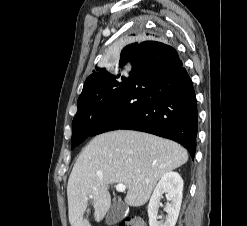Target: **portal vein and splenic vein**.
<instances>
[{"mask_svg": "<svg viewBox=\"0 0 247 226\" xmlns=\"http://www.w3.org/2000/svg\"><path fill=\"white\" fill-rule=\"evenodd\" d=\"M126 185H124V184H117V186H116V190L118 191V192H124L125 190H126ZM90 198H92V195H90Z\"/></svg>", "mask_w": 247, "mask_h": 226, "instance_id": "portal-vein-and-splenic-vein-1", "label": "portal vein and splenic vein"}]
</instances>
